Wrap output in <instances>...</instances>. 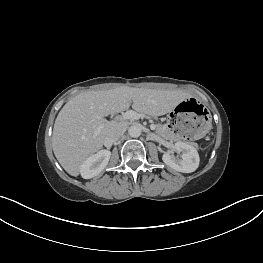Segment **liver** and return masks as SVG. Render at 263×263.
<instances>
[{"instance_id":"1","label":"liver","mask_w":263,"mask_h":263,"mask_svg":"<svg viewBox=\"0 0 263 263\" xmlns=\"http://www.w3.org/2000/svg\"><path fill=\"white\" fill-rule=\"evenodd\" d=\"M189 95L181 90H154L122 86L104 91H85L70 99L54 124L52 148L60 165L78 176L81 164L100 150L108 134L123 128V122L107 121L105 116L132 108L151 116L164 115ZM102 126L99 134L96 129Z\"/></svg>"}]
</instances>
